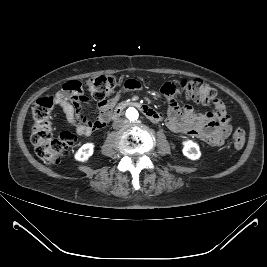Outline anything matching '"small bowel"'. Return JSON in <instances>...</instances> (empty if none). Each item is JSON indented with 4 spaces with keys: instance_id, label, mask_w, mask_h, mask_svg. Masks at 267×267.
<instances>
[{
    "instance_id": "obj_1",
    "label": "small bowel",
    "mask_w": 267,
    "mask_h": 267,
    "mask_svg": "<svg viewBox=\"0 0 267 267\" xmlns=\"http://www.w3.org/2000/svg\"><path fill=\"white\" fill-rule=\"evenodd\" d=\"M141 83L135 79L125 81L123 91L139 90ZM161 94L168 101L166 118L167 127L175 132L198 138L211 146H221L231 133L230 115L225 104L216 100L214 111L196 112L189 105H180L175 96L180 89L174 82H166L160 89ZM119 95L98 106L99 116L95 121L85 117L82 108L88 102L84 95L81 83L76 80L66 82L54 97L66 119L76 125L79 136H89L94 130L102 128L110 119V113L116 104Z\"/></svg>"
}]
</instances>
